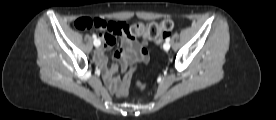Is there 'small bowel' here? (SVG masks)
<instances>
[{
    "label": "small bowel",
    "instance_id": "c3829d8e",
    "mask_svg": "<svg viewBox=\"0 0 276 120\" xmlns=\"http://www.w3.org/2000/svg\"><path fill=\"white\" fill-rule=\"evenodd\" d=\"M125 23L107 22V26L103 29L106 33H100L99 39L102 41V48L96 52V62L101 66H106V58L104 55L105 49H110L117 42V37H120V48L116 51L115 57L119 61L122 72L127 70L128 64L131 61L141 58L143 61L148 60L146 43H139L135 38L127 37L123 28ZM117 66L112 64L106 67L104 79L110 90L114 92L118 83V78L115 77Z\"/></svg>",
    "mask_w": 276,
    "mask_h": 120
}]
</instances>
